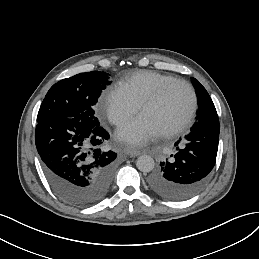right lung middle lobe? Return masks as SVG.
I'll return each mask as SVG.
<instances>
[{"instance_id": "1", "label": "right lung middle lobe", "mask_w": 259, "mask_h": 259, "mask_svg": "<svg viewBox=\"0 0 259 259\" xmlns=\"http://www.w3.org/2000/svg\"><path fill=\"white\" fill-rule=\"evenodd\" d=\"M108 74L101 71L80 73L54 84L47 92L37 115L41 123L51 118H74L99 124L94 105L105 87Z\"/></svg>"}]
</instances>
